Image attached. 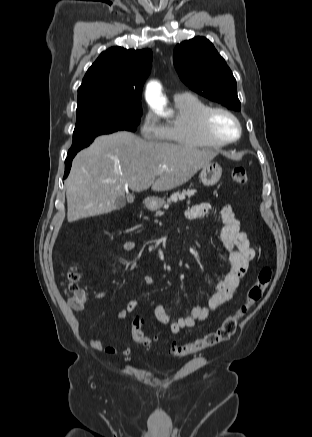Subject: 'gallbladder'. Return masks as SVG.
<instances>
[{
	"label": "gallbladder",
	"mask_w": 312,
	"mask_h": 437,
	"mask_svg": "<svg viewBox=\"0 0 312 437\" xmlns=\"http://www.w3.org/2000/svg\"><path fill=\"white\" fill-rule=\"evenodd\" d=\"M127 201L130 202V203L133 202L134 201L133 196L132 195L128 196ZM125 203H126L125 198H118L116 200V206H117L118 209L124 207Z\"/></svg>",
	"instance_id": "gallbladder-1"
}]
</instances>
